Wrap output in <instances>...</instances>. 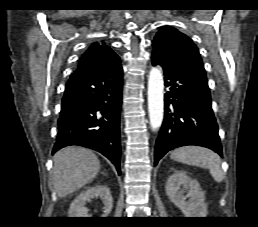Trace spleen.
Masks as SVG:
<instances>
[{
    "label": "spleen",
    "instance_id": "1",
    "mask_svg": "<svg viewBox=\"0 0 258 227\" xmlns=\"http://www.w3.org/2000/svg\"><path fill=\"white\" fill-rule=\"evenodd\" d=\"M171 158L188 165L207 168L216 182L223 181L224 174L221 168V159L209 149L198 146H185L174 150L171 153Z\"/></svg>",
    "mask_w": 258,
    "mask_h": 227
}]
</instances>
